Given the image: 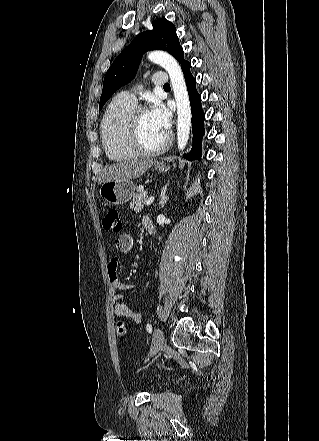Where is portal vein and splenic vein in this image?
Returning a JSON list of instances; mask_svg holds the SVG:
<instances>
[{
  "mask_svg": "<svg viewBox=\"0 0 319 441\" xmlns=\"http://www.w3.org/2000/svg\"><path fill=\"white\" fill-rule=\"evenodd\" d=\"M154 197H150V198H148L147 200H146V205H150L151 203H153V201H154Z\"/></svg>",
  "mask_w": 319,
  "mask_h": 441,
  "instance_id": "1",
  "label": "portal vein and splenic vein"
}]
</instances>
